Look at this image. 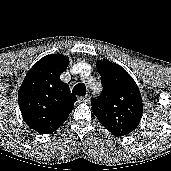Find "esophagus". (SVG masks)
Listing matches in <instances>:
<instances>
[{"mask_svg":"<svg viewBox=\"0 0 171 171\" xmlns=\"http://www.w3.org/2000/svg\"><path fill=\"white\" fill-rule=\"evenodd\" d=\"M90 99H91L90 95H86V96L80 97V98H79V101H80V102L86 103V102H89Z\"/></svg>","mask_w":171,"mask_h":171,"instance_id":"esophagus-1","label":"esophagus"}]
</instances>
